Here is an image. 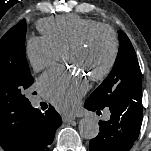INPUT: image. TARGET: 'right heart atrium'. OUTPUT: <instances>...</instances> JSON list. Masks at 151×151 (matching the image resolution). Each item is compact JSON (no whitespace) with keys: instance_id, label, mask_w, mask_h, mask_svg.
Returning a JSON list of instances; mask_svg holds the SVG:
<instances>
[{"instance_id":"1","label":"right heart atrium","mask_w":151,"mask_h":151,"mask_svg":"<svg viewBox=\"0 0 151 151\" xmlns=\"http://www.w3.org/2000/svg\"><path fill=\"white\" fill-rule=\"evenodd\" d=\"M26 57L35 71L55 65L61 58L62 52L44 36H33L26 44Z\"/></svg>"}]
</instances>
